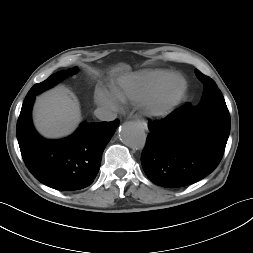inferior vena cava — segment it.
<instances>
[{
  "label": "inferior vena cava",
  "instance_id": "1",
  "mask_svg": "<svg viewBox=\"0 0 253 253\" xmlns=\"http://www.w3.org/2000/svg\"><path fill=\"white\" fill-rule=\"evenodd\" d=\"M94 114L101 121H113L117 118L116 113L103 107L97 108Z\"/></svg>",
  "mask_w": 253,
  "mask_h": 253
}]
</instances>
